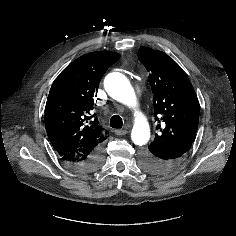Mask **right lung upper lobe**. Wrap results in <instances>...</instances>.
Instances as JSON below:
<instances>
[{
  "instance_id": "obj_1",
  "label": "right lung upper lobe",
  "mask_w": 236,
  "mask_h": 236,
  "mask_svg": "<svg viewBox=\"0 0 236 236\" xmlns=\"http://www.w3.org/2000/svg\"><path fill=\"white\" fill-rule=\"evenodd\" d=\"M119 57L116 52L105 51L83 55L51 86L45 128L54 150L65 160L86 159L107 138L94 113L93 96L103 74Z\"/></svg>"
}]
</instances>
